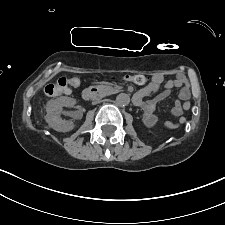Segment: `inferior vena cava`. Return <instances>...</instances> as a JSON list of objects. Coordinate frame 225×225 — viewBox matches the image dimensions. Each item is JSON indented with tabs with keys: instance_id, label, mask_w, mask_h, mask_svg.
<instances>
[{
	"instance_id": "1",
	"label": "inferior vena cava",
	"mask_w": 225,
	"mask_h": 225,
	"mask_svg": "<svg viewBox=\"0 0 225 225\" xmlns=\"http://www.w3.org/2000/svg\"><path fill=\"white\" fill-rule=\"evenodd\" d=\"M99 102H101V100L98 99V98H96V99L92 102V104H97V103H99Z\"/></svg>"
}]
</instances>
